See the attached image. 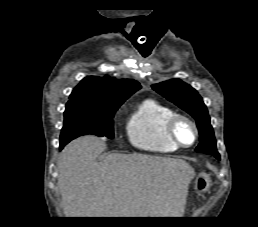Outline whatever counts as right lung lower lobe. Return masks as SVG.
Here are the masks:
<instances>
[{
  "label": "right lung lower lobe",
  "mask_w": 258,
  "mask_h": 227,
  "mask_svg": "<svg viewBox=\"0 0 258 227\" xmlns=\"http://www.w3.org/2000/svg\"><path fill=\"white\" fill-rule=\"evenodd\" d=\"M67 143H60V149H62Z\"/></svg>",
  "instance_id": "1"
}]
</instances>
